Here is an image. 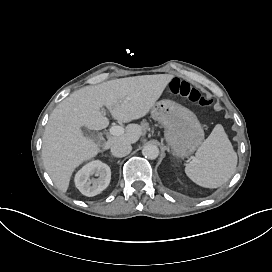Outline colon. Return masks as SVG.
Returning <instances> with one entry per match:
<instances>
[{
  "instance_id": "colon-1",
  "label": "colon",
  "mask_w": 272,
  "mask_h": 272,
  "mask_svg": "<svg viewBox=\"0 0 272 272\" xmlns=\"http://www.w3.org/2000/svg\"><path fill=\"white\" fill-rule=\"evenodd\" d=\"M171 88L176 94L200 106L207 107L212 103V98L210 96L202 93L196 88H191L184 82L181 83L177 79L171 83Z\"/></svg>"
}]
</instances>
